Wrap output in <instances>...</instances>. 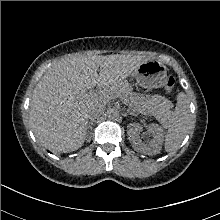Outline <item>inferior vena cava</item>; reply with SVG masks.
<instances>
[{"instance_id": "obj_1", "label": "inferior vena cava", "mask_w": 220, "mask_h": 220, "mask_svg": "<svg viewBox=\"0 0 220 220\" xmlns=\"http://www.w3.org/2000/svg\"><path fill=\"white\" fill-rule=\"evenodd\" d=\"M105 111V107L104 105H99V106H95L92 108V110L89 113V118L92 119H96L97 117H99L101 114H103Z\"/></svg>"}]
</instances>
